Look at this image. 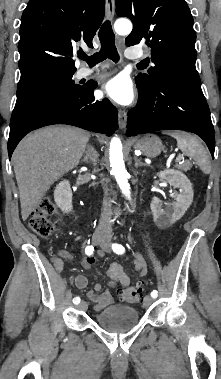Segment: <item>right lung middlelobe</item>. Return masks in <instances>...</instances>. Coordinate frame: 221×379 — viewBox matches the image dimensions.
Wrapping results in <instances>:
<instances>
[{
    "mask_svg": "<svg viewBox=\"0 0 221 379\" xmlns=\"http://www.w3.org/2000/svg\"><path fill=\"white\" fill-rule=\"evenodd\" d=\"M74 70H54L29 77L18 83L17 101L11 123L19 120L36 105L78 92L82 86L72 80Z\"/></svg>",
    "mask_w": 221,
    "mask_h": 379,
    "instance_id": "dd1d6c3e",
    "label": "right lung middle lobe"
}]
</instances>
